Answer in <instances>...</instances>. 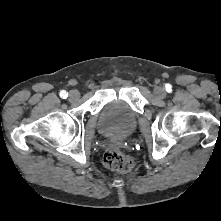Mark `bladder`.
Listing matches in <instances>:
<instances>
[{
	"instance_id": "bladder-1",
	"label": "bladder",
	"mask_w": 221,
	"mask_h": 221,
	"mask_svg": "<svg viewBox=\"0 0 221 221\" xmlns=\"http://www.w3.org/2000/svg\"><path fill=\"white\" fill-rule=\"evenodd\" d=\"M136 126V113L123 102H109L99 114L98 129L106 136L128 135Z\"/></svg>"
}]
</instances>
